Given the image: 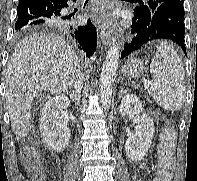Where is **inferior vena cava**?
<instances>
[{
    "instance_id": "obj_1",
    "label": "inferior vena cava",
    "mask_w": 197,
    "mask_h": 181,
    "mask_svg": "<svg viewBox=\"0 0 197 181\" xmlns=\"http://www.w3.org/2000/svg\"><path fill=\"white\" fill-rule=\"evenodd\" d=\"M82 81L83 77L81 73H78L76 78L74 79V96L77 100H80V94H81V89H82Z\"/></svg>"
}]
</instances>
